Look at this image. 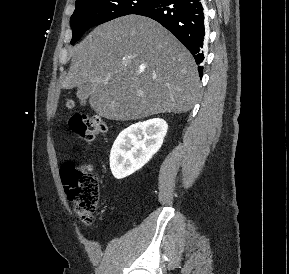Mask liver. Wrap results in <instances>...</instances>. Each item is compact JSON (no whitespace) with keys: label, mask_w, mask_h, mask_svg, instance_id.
<instances>
[{"label":"liver","mask_w":289,"mask_h":274,"mask_svg":"<svg viewBox=\"0 0 289 274\" xmlns=\"http://www.w3.org/2000/svg\"><path fill=\"white\" fill-rule=\"evenodd\" d=\"M61 87L89 83V104L116 121L160 113H186L199 95L191 53L167 29L147 17L128 15L104 23L71 49Z\"/></svg>","instance_id":"1"}]
</instances>
